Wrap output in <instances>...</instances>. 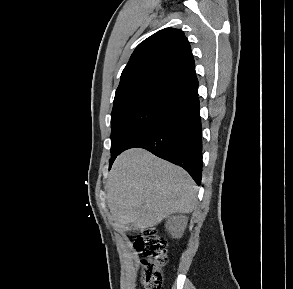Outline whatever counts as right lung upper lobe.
<instances>
[{
    "label": "right lung upper lobe",
    "instance_id": "1",
    "mask_svg": "<svg viewBox=\"0 0 293 289\" xmlns=\"http://www.w3.org/2000/svg\"><path fill=\"white\" fill-rule=\"evenodd\" d=\"M198 95L190 44L179 29L165 28L138 45L121 74L114 104L137 96H157L175 105Z\"/></svg>",
    "mask_w": 293,
    "mask_h": 289
}]
</instances>
